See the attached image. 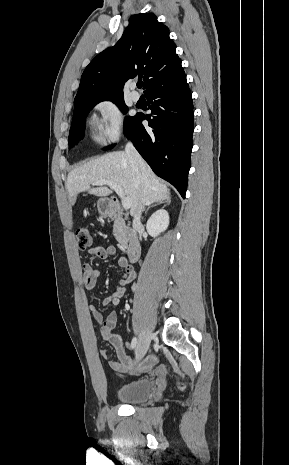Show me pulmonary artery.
<instances>
[{"instance_id":"obj_1","label":"pulmonary artery","mask_w":289,"mask_h":465,"mask_svg":"<svg viewBox=\"0 0 289 465\" xmlns=\"http://www.w3.org/2000/svg\"><path fill=\"white\" fill-rule=\"evenodd\" d=\"M131 98L134 102H137L140 99L139 93L135 90V85L131 86Z\"/></svg>"}]
</instances>
